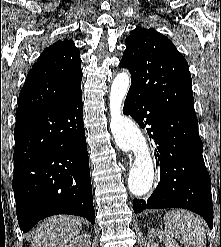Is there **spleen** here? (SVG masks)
<instances>
[{
	"label": "spleen",
	"instance_id": "3e777b00",
	"mask_svg": "<svg viewBox=\"0 0 221 247\" xmlns=\"http://www.w3.org/2000/svg\"><path fill=\"white\" fill-rule=\"evenodd\" d=\"M165 233L180 240L185 247H205L203 220L186 210H171L164 216Z\"/></svg>",
	"mask_w": 221,
	"mask_h": 247
}]
</instances>
